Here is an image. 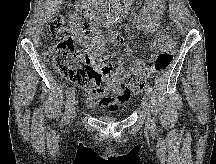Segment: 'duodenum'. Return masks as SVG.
<instances>
[{"label": "duodenum", "instance_id": "duodenum-1", "mask_svg": "<svg viewBox=\"0 0 216 164\" xmlns=\"http://www.w3.org/2000/svg\"><path fill=\"white\" fill-rule=\"evenodd\" d=\"M78 9L87 16H95L99 22L103 21L104 19V5L98 2V0L93 3L81 2L78 4Z\"/></svg>", "mask_w": 216, "mask_h": 164}]
</instances>
